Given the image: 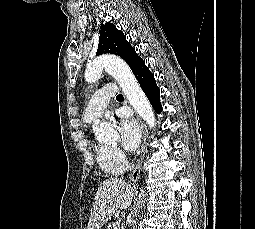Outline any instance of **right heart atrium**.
<instances>
[{"mask_svg": "<svg viewBox=\"0 0 255 229\" xmlns=\"http://www.w3.org/2000/svg\"><path fill=\"white\" fill-rule=\"evenodd\" d=\"M114 152L115 154L119 157V158H122L124 159V154L122 153V151L118 148H114Z\"/></svg>", "mask_w": 255, "mask_h": 229, "instance_id": "obj_1", "label": "right heart atrium"}]
</instances>
